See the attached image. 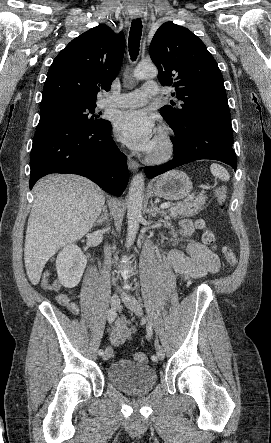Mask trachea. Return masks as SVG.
Here are the masks:
<instances>
[{
	"label": "trachea",
	"mask_w": 271,
	"mask_h": 443,
	"mask_svg": "<svg viewBox=\"0 0 271 443\" xmlns=\"http://www.w3.org/2000/svg\"><path fill=\"white\" fill-rule=\"evenodd\" d=\"M142 33V23L140 18L133 20L129 33V52L132 60H135L139 53V45Z\"/></svg>",
	"instance_id": "1"
}]
</instances>
